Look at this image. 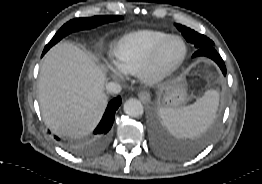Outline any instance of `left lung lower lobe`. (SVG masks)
<instances>
[{
  "mask_svg": "<svg viewBox=\"0 0 262 184\" xmlns=\"http://www.w3.org/2000/svg\"><path fill=\"white\" fill-rule=\"evenodd\" d=\"M196 56H207L211 58L218 64L224 76L226 75L225 63L214 46H206L197 49L193 54V57ZM148 131L153 150L160 156L169 160H185L192 158L201 153L210 142V137L208 135L200 137L194 136L192 139H185V137L176 138L175 135L169 131L160 113L156 111L152 112L149 116Z\"/></svg>",
  "mask_w": 262,
  "mask_h": 184,
  "instance_id": "1",
  "label": "left lung lower lobe"
}]
</instances>
